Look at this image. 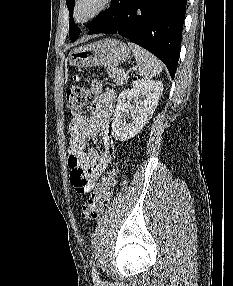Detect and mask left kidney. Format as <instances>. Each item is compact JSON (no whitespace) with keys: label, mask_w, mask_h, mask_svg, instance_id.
<instances>
[{"label":"left kidney","mask_w":233,"mask_h":286,"mask_svg":"<svg viewBox=\"0 0 233 286\" xmlns=\"http://www.w3.org/2000/svg\"><path fill=\"white\" fill-rule=\"evenodd\" d=\"M162 92L161 81L146 79L136 80L132 83L131 89L122 91L113 116L112 136L116 140L126 141L137 135L154 113ZM129 112L132 115L128 123L125 116Z\"/></svg>","instance_id":"left-kidney-1"}]
</instances>
